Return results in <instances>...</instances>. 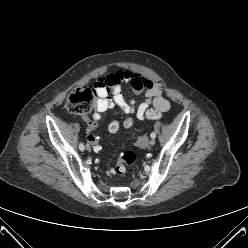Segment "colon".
Returning <instances> with one entry per match:
<instances>
[{"label":"colon","mask_w":248,"mask_h":248,"mask_svg":"<svg viewBox=\"0 0 248 248\" xmlns=\"http://www.w3.org/2000/svg\"><path fill=\"white\" fill-rule=\"evenodd\" d=\"M95 96H97L95 87L93 89L88 87L79 88L70 94L66 102V107L69 112L84 116L90 112ZM161 116L162 113L157 110H151L147 113V117L149 119H158ZM134 126L135 120L131 115H126L121 120V127L125 131H132ZM108 130L111 133H116L119 130V123L117 121H113L109 125ZM84 133L86 143L91 148H98L101 145V138L94 128H86ZM138 160L139 156L136 152L124 151L120 154L115 167L111 169L110 176L114 178L124 176L127 170L133 167L138 162Z\"/></svg>","instance_id":"colon-1"}]
</instances>
